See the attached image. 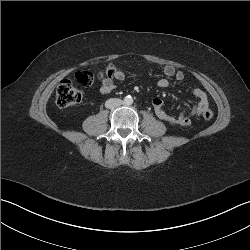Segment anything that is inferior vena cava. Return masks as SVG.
Masks as SVG:
<instances>
[{
	"label": "inferior vena cava",
	"mask_w": 250,
	"mask_h": 250,
	"mask_svg": "<svg viewBox=\"0 0 250 250\" xmlns=\"http://www.w3.org/2000/svg\"><path fill=\"white\" fill-rule=\"evenodd\" d=\"M123 104V101L121 99H118V98H111V99H108L106 102H105V107L106 108H109V109H114L116 107H119Z\"/></svg>",
	"instance_id": "obj_1"
}]
</instances>
